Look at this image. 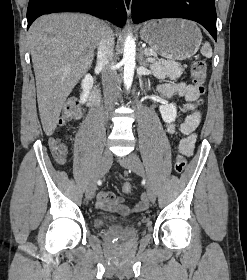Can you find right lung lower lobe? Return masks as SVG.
I'll use <instances>...</instances> for the list:
<instances>
[{
  "instance_id": "obj_1",
  "label": "right lung lower lobe",
  "mask_w": 247,
  "mask_h": 280,
  "mask_svg": "<svg viewBox=\"0 0 247 280\" xmlns=\"http://www.w3.org/2000/svg\"><path fill=\"white\" fill-rule=\"evenodd\" d=\"M77 11L107 19L122 27L126 22L123 0H29L28 28L39 16L52 12Z\"/></svg>"
}]
</instances>
